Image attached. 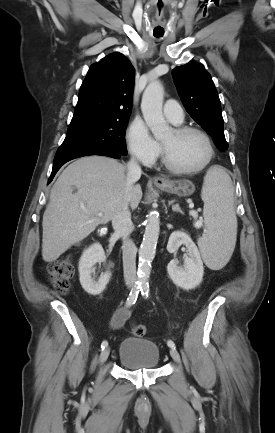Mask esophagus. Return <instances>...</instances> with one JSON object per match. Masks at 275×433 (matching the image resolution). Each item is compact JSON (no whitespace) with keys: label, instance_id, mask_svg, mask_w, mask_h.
I'll use <instances>...</instances> for the list:
<instances>
[{"label":"esophagus","instance_id":"1","mask_svg":"<svg viewBox=\"0 0 275 433\" xmlns=\"http://www.w3.org/2000/svg\"><path fill=\"white\" fill-rule=\"evenodd\" d=\"M167 182V179L161 176H157L154 178V183L158 186L165 185Z\"/></svg>","mask_w":275,"mask_h":433}]
</instances>
